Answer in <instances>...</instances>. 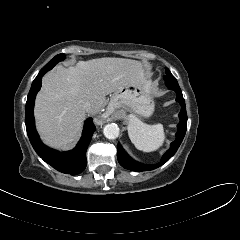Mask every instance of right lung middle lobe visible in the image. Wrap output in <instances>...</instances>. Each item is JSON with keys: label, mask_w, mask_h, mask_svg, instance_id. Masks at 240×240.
<instances>
[{"label": "right lung middle lobe", "mask_w": 240, "mask_h": 240, "mask_svg": "<svg viewBox=\"0 0 240 240\" xmlns=\"http://www.w3.org/2000/svg\"><path fill=\"white\" fill-rule=\"evenodd\" d=\"M64 58H65L64 54H58L46 65H53V66H55L58 62L62 61Z\"/></svg>", "instance_id": "right-lung-middle-lobe-1"}]
</instances>
